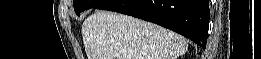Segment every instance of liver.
Returning a JSON list of instances; mask_svg holds the SVG:
<instances>
[{"label": "liver", "mask_w": 261, "mask_h": 59, "mask_svg": "<svg viewBox=\"0 0 261 59\" xmlns=\"http://www.w3.org/2000/svg\"><path fill=\"white\" fill-rule=\"evenodd\" d=\"M88 59H177L187 50L179 34L110 11H97L82 24Z\"/></svg>", "instance_id": "1"}]
</instances>
